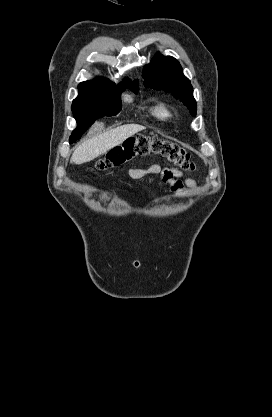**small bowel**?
Here are the masks:
<instances>
[{
	"instance_id": "1",
	"label": "small bowel",
	"mask_w": 272,
	"mask_h": 417,
	"mask_svg": "<svg viewBox=\"0 0 272 417\" xmlns=\"http://www.w3.org/2000/svg\"><path fill=\"white\" fill-rule=\"evenodd\" d=\"M128 175L131 179L135 180L159 175L165 183L170 184L171 190L176 196L181 195L184 186L192 189L198 187L196 181L190 177H185L184 181H182L181 178H183L184 175L181 171L170 167H162L159 164H153L146 168L131 167L128 170Z\"/></svg>"
}]
</instances>
